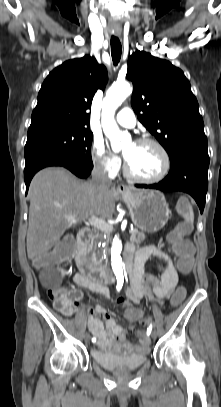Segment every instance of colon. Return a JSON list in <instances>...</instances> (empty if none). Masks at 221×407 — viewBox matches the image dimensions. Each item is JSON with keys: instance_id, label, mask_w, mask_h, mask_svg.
Instances as JSON below:
<instances>
[{"instance_id": "colon-1", "label": "colon", "mask_w": 221, "mask_h": 407, "mask_svg": "<svg viewBox=\"0 0 221 407\" xmlns=\"http://www.w3.org/2000/svg\"><path fill=\"white\" fill-rule=\"evenodd\" d=\"M178 212L183 217V221L172 231L168 237V241L178 256V269L181 273L187 274L190 272L193 264V255L195 247L192 239H184L190 235L193 230V211L190 203L187 200H180L177 206ZM76 237L74 234H67L65 240H58L57 246H52L51 252H42L35 260V267L48 266L50 261H57L59 266L63 265L62 261H71V253ZM189 292L186 286H177L170 292L169 301L172 308H180L181 304H185ZM49 296L54 300L55 308L63 314H67L75 305L76 298L69 290L49 291ZM123 317L129 322L142 321L147 314L144 307L141 305L128 306L123 310ZM143 324L147 321L143 320Z\"/></svg>"}]
</instances>
